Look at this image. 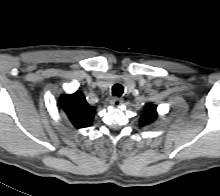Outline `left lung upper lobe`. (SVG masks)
Instances as JSON below:
<instances>
[{
	"instance_id": "5c2ea615",
	"label": "left lung upper lobe",
	"mask_w": 220,
	"mask_h": 196,
	"mask_svg": "<svg viewBox=\"0 0 220 196\" xmlns=\"http://www.w3.org/2000/svg\"><path fill=\"white\" fill-rule=\"evenodd\" d=\"M157 118L156 106L148 104L145 107V113L140 118V126H148L153 123Z\"/></svg>"
}]
</instances>
